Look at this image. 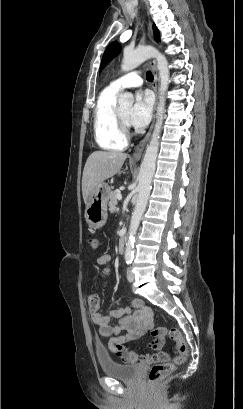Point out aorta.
<instances>
[{
    "label": "aorta",
    "instance_id": "obj_1",
    "mask_svg": "<svg viewBox=\"0 0 243 409\" xmlns=\"http://www.w3.org/2000/svg\"><path fill=\"white\" fill-rule=\"evenodd\" d=\"M149 58H155L157 61V68L159 71L160 87H159V102L157 106V119L154 131L149 144L147 145L138 176V196L137 202L132 213L128 239L126 242L125 258L130 259L133 256V247L135 235L145 211L150 191L151 182L156 168V159L159 149V140L164 120L165 113V95L169 85V68L166 57L157 49L151 46L138 47L133 51H124L121 69L123 71H130L138 67L141 63ZM134 97L131 93L125 92L119 95L118 103L121 106H132Z\"/></svg>",
    "mask_w": 243,
    "mask_h": 409
}]
</instances>
